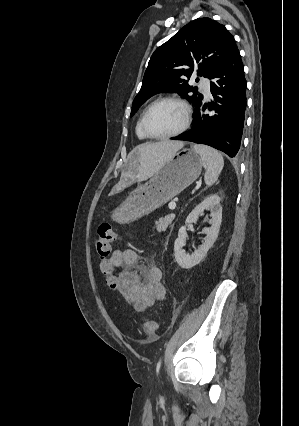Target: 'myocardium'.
<instances>
[{"instance_id":"obj_1","label":"myocardium","mask_w":299,"mask_h":426,"mask_svg":"<svg viewBox=\"0 0 299 426\" xmlns=\"http://www.w3.org/2000/svg\"><path fill=\"white\" fill-rule=\"evenodd\" d=\"M164 102H173L176 103L178 105H180L184 111V122L182 124V126L176 130L173 133L170 134H165V135H156L153 134L147 126V120L149 117V114L151 113L152 109L157 106L158 104L164 103ZM191 120H192V110H191V106L189 105V103L178 96H165V97H161L155 101H153L145 110L143 117H142V121H141V127L142 130L144 132V134L152 139H158V140H164V139H170V138H174L177 137L181 134H183L190 126L191 124Z\"/></svg>"}]
</instances>
